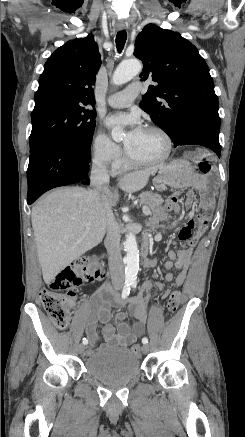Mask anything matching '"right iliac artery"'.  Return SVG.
I'll return each mask as SVG.
<instances>
[{"label": "right iliac artery", "mask_w": 245, "mask_h": 437, "mask_svg": "<svg viewBox=\"0 0 245 437\" xmlns=\"http://www.w3.org/2000/svg\"><path fill=\"white\" fill-rule=\"evenodd\" d=\"M130 287H131L130 283H125L122 291V299H126L128 297L130 293ZM82 343L86 345L88 344V340L86 338H83Z\"/></svg>", "instance_id": "obj_1"}]
</instances>
